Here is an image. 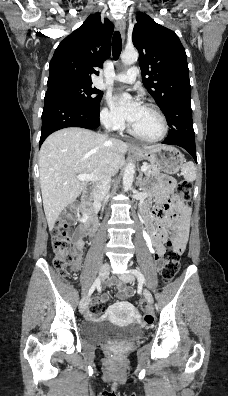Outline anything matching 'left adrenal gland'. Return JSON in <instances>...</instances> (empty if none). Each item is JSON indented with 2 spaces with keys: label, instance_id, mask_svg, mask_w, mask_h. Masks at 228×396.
I'll use <instances>...</instances> for the list:
<instances>
[{
  "label": "left adrenal gland",
  "instance_id": "a2214340",
  "mask_svg": "<svg viewBox=\"0 0 228 396\" xmlns=\"http://www.w3.org/2000/svg\"><path fill=\"white\" fill-rule=\"evenodd\" d=\"M142 178H143V174H142V172H139V176H138V178H137L136 184L139 185L140 187H141L142 184H143Z\"/></svg>",
  "mask_w": 228,
  "mask_h": 396
}]
</instances>
